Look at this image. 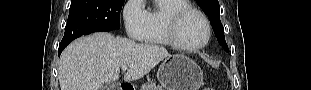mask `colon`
Listing matches in <instances>:
<instances>
[{"mask_svg": "<svg viewBox=\"0 0 311 90\" xmlns=\"http://www.w3.org/2000/svg\"><path fill=\"white\" fill-rule=\"evenodd\" d=\"M203 90H213V89H211V88H203Z\"/></svg>", "mask_w": 311, "mask_h": 90, "instance_id": "colon-1", "label": "colon"}]
</instances>
